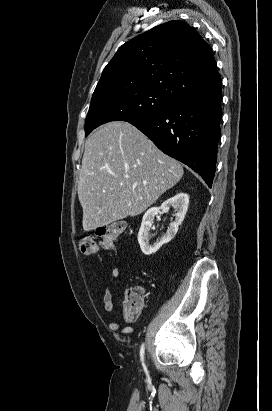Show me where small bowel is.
Here are the masks:
<instances>
[{"label": "small bowel", "instance_id": "obj_1", "mask_svg": "<svg viewBox=\"0 0 272 411\" xmlns=\"http://www.w3.org/2000/svg\"><path fill=\"white\" fill-rule=\"evenodd\" d=\"M120 273L121 272L119 268L117 267L113 268L111 271L112 280H117L120 276ZM102 300H103L105 310L109 314H113L114 312L113 298H112V293L108 285H104L103 293H102ZM108 327L110 330H118L120 329V323L117 320H113L108 324ZM120 332L122 334H134V329L130 326H126V327L121 328Z\"/></svg>", "mask_w": 272, "mask_h": 411}]
</instances>
